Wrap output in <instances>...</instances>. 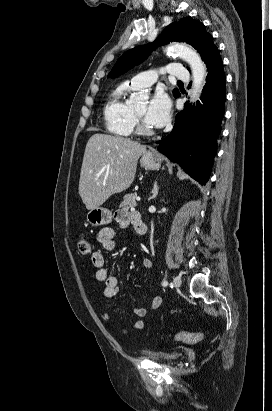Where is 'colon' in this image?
<instances>
[{"label": "colon", "instance_id": "5ec220e1", "mask_svg": "<svg viewBox=\"0 0 272 411\" xmlns=\"http://www.w3.org/2000/svg\"><path fill=\"white\" fill-rule=\"evenodd\" d=\"M78 249L82 254H88L90 252V244L87 240H80L78 242ZM171 337L179 342L183 343H196L203 338V334L199 331L187 332V331H178L171 335Z\"/></svg>", "mask_w": 272, "mask_h": 411}]
</instances>
